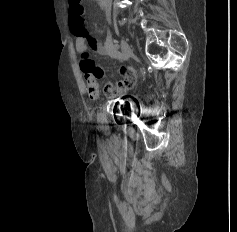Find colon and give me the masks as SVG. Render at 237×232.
Masks as SVG:
<instances>
[{
	"label": "colon",
	"mask_w": 237,
	"mask_h": 232,
	"mask_svg": "<svg viewBox=\"0 0 237 232\" xmlns=\"http://www.w3.org/2000/svg\"><path fill=\"white\" fill-rule=\"evenodd\" d=\"M83 7L80 0H69V18L70 26L74 32L85 33L87 32V27L84 23L83 17Z\"/></svg>",
	"instance_id": "colon-1"
}]
</instances>
